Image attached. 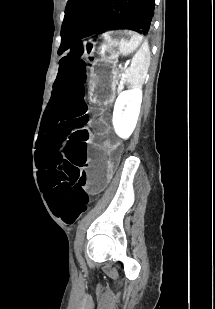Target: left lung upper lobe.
<instances>
[{
  "mask_svg": "<svg viewBox=\"0 0 215 309\" xmlns=\"http://www.w3.org/2000/svg\"><path fill=\"white\" fill-rule=\"evenodd\" d=\"M153 14L154 0H68L58 52L109 29L148 34Z\"/></svg>",
  "mask_w": 215,
  "mask_h": 309,
  "instance_id": "obj_1",
  "label": "left lung upper lobe"
}]
</instances>
